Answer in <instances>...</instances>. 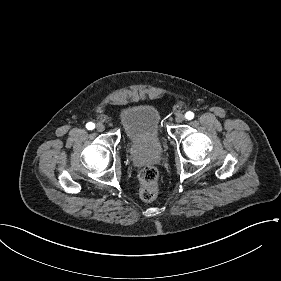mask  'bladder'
Instances as JSON below:
<instances>
[{"label": "bladder", "mask_w": 281, "mask_h": 281, "mask_svg": "<svg viewBox=\"0 0 281 281\" xmlns=\"http://www.w3.org/2000/svg\"><path fill=\"white\" fill-rule=\"evenodd\" d=\"M121 127L135 156L152 157L161 153L164 141L161 109L148 101L121 107Z\"/></svg>", "instance_id": "bladder-1"}]
</instances>
